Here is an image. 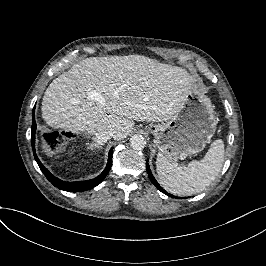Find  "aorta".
Returning <instances> with one entry per match:
<instances>
[{
	"mask_svg": "<svg viewBox=\"0 0 266 266\" xmlns=\"http://www.w3.org/2000/svg\"><path fill=\"white\" fill-rule=\"evenodd\" d=\"M130 144L131 147L134 148L135 150H141L145 148L146 141L144 137L141 135H133L132 138L130 139Z\"/></svg>",
	"mask_w": 266,
	"mask_h": 266,
	"instance_id": "762f6f07",
	"label": "aorta"
}]
</instances>
